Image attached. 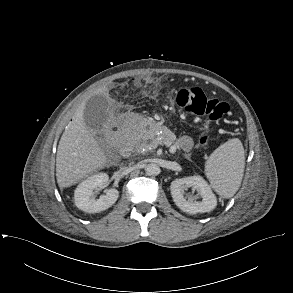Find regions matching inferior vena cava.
<instances>
[{
    "label": "inferior vena cava",
    "instance_id": "obj_1",
    "mask_svg": "<svg viewBox=\"0 0 293 293\" xmlns=\"http://www.w3.org/2000/svg\"><path fill=\"white\" fill-rule=\"evenodd\" d=\"M126 168H127V167H122L121 169L124 170V169H126Z\"/></svg>",
    "mask_w": 293,
    "mask_h": 293
}]
</instances>
